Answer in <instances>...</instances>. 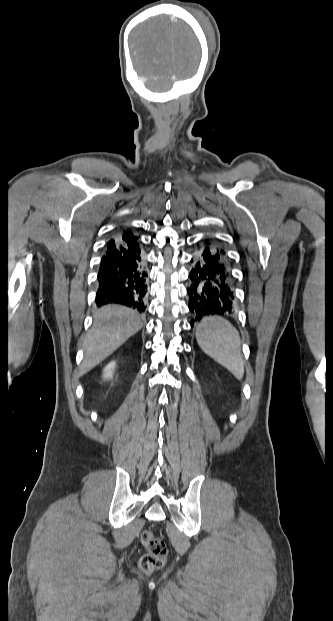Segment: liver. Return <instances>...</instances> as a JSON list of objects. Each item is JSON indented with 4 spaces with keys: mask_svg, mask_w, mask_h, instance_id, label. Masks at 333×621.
<instances>
[{
    "mask_svg": "<svg viewBox=\"0 0 333 621\" xmlns=\"http://www.w3.org/2000/svg\"><path fill=\"white\" fill-rule=\"evenodd\" d=\"M94 317V325L83 344L85 359L81 365L82 373L105 360L143 326L135 311L122 306H104Z\"/></svg>",
    "mask_w": 333,
    "mask_h": 621,
    "instance_id": "1",
    "label": "liver"
}]
</instances>
